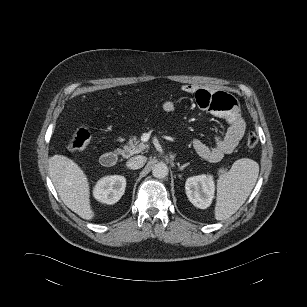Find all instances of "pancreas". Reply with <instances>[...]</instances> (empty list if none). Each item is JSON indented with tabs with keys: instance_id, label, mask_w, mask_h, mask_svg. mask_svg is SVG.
I'll list each match as a JSON object with an SVG mask.
<instances>
[{
	"instance_id": "pancreas-1",
	"label": "pancreas",
	"mask_w": 307,
	"mask_h": 307,
	"mask_svg": "<svg viewBox=\"0 0 307 307\" xmlns=\"http://www.w3.org/2000/svg\"><path fill=\"white\" fill-rule=\"evenodd\" d=\"M148 147L149 146L146 143L142 142L136 137H133L119 152L124 158H128L134 154L143 153V151L147 150Z\"/></svg>"
}]
</instances>
